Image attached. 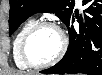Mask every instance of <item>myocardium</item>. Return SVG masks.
<instances>
[{"mask_svg": "<svg viewBox=\"0 0 102 75\" xmlns=\"http://www.w3.org/2000/svg\"><path fill=\"white\" fill-rule=\"evenodd\" d=\"M43 27H52L58 31L61 37V48L58 54L52 60L48 62H36L29 55L28 45L31 38L34 36V34ZM67 46H68L67 36L65 32L62 30V28L55 21L50 20V19H45L41 21H36L27 31V33L25 34L21 42V53H22L24 61L27 63L28 66L44 68V67H49L57 63L64 56L67 50Z\"/></svg>", "mask_w": 102, "mask_h": 75, "instance_id": "f54148a6", "label": "myocardium"}]
</instances>
